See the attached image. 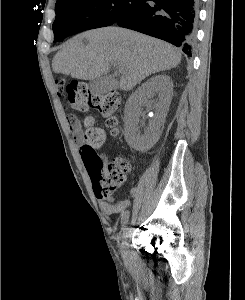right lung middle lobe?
Returning a JSON list of instances; mask_svg holds the SVG:
<instances>
[{
    "instance_id": "right-lung-middle-lobe-1",
    "label": "right lung middle lobe",
    "mask_w": 245,
    "mask_h": 300,
    "mask_svg": "<svg viewBox=\"0 0 245 300\" xmlns=\"http://www.w3.org/2000/svg\"><path fill=\"white\" fill-rule=\"evenodd\" d=\"M146 0H58L53 32L62 41L78 32L109 26L139 8ZM63 25L60 26L59 23Z\"/></svg>"
}]
</instances>
